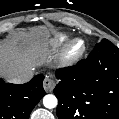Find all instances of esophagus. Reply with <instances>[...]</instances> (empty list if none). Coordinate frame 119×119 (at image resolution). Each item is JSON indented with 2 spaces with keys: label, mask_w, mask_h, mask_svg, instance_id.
<instances>
[{
  "label": "esophagus",
  "mask_w": 119,
  "mask_h": 119,
  "mask_svg": "<svg viewBox=\"0 0 119 119\" xmlns=\"http://www.w3.org/2000/svg\"><path fill=\"white\" fill-rule=\"evenodd\" d=\"M56 86V82L53 79L52 75H46L43 81V87L47 92H52Z\"/></svg>",
  "instance_id": "34e87169"
}]
</instances>
